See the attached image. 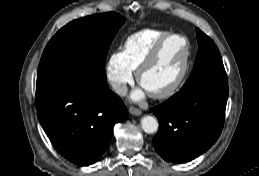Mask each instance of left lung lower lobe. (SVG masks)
Wrapping results in <instances>:
<instances>
[{"instance_id": "0a47b994", "label": "left lung lower lobe", "mask_w": 259, "mask_h": 176, "mask_svg": "<svg viewBox=\"0 0 259 176\" xmlns=\"http://www.w3.org/2000/svg\"><path fill=\"white\" fill-rule=\"evenodd\" d=\"M227 99L228 82L204 80L152 108L159 120L156 152L168 162L184 163L207 151L221 134Z\"/></svg>"}]
</instances>
